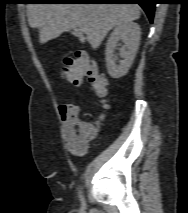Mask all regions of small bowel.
Masks as SVG:
<instances>
[{
  "mask_svg": "<svg viewBox=\"0 0 188 213\" xmlns=\"http://www.w3.org/2000/svg\"><path fill=\"white\" fill-rule=\"evenodd\" d=\"M80 109L77 106L62 104L59 106V115L65 126L64 134L68 149L76 155H84L88 149V141L96 131L95 125L79 116ZM73 136L78 137L79 146L74 145Z\"/></svg>",
  "mask_w": 188,
  "mask_h": 213,
  "instance_id": "1",
  "label": "small bowel"
}]
</instances>
